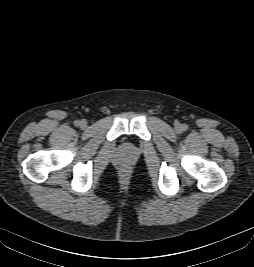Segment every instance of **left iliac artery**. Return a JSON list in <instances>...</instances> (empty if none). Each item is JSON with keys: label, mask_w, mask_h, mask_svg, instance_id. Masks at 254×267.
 <instances>
[{"label": "left iliac artery", "mask_w": 254, "mask_h": 267, "mask_svg": "<svg viewBox=\"0 0 254 267\" xmlns=\"http://www.w3.org/2000/svg\"><path fill=\"white\" fill-rule=\"evenodd\" d=\"M182 129H183V130H186V129H187V126H186V125H183V126H182Z\"/></svg>", "instance_id": "left-iliac-artery-1"}]
</instances>
